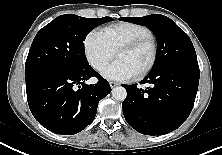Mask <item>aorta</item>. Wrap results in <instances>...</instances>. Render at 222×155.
Listing matches in <instances>:
<instances>
[{
	"mask_svg": "<svg viewBox=\"0 0 222 155\" xmlns=\"http://www.w3.org/2000/svg\"><path fill=\"white\" fill-rule=\"evenodd\" d=\"M127 91L124 87H115L112 90V97L117 101H123L126 99Z\"/></svg>",
	"mask_w": 222,
	"mask_h": 155,
	"instance_id": "762f6f07",
	"label": "aorta"
}]
</instances>
